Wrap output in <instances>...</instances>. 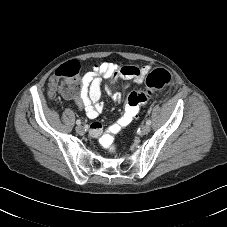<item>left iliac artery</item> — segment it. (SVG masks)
<instances>
[{"mask_svg": "<svg viewBox=\"0 0 227 227\" xmlns=\"http://www.w3.org/2000/svg\"><path fill=\"white\" fill-rule=\"evenodd\" d=\"M146 124L151 125V120H147Z\"/></svg>", "mask_w": 227, "mask_h": 227, "instance_id": "44dca946", "label": "left iliac artery"}]
</instances>
